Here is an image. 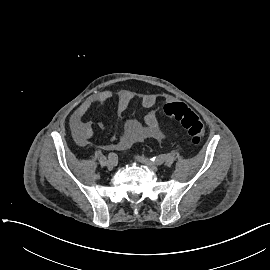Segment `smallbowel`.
I'll use <instances>...</instances> for the list:
<instances>
[{
	"mask_svg": "<svg viewBox=\"0 0 270 270\" xmlns=\"http://www.w3.org/2000/svg\"><path fill=\"white\" fill-rule=\"evenodd\" d=\"M113 98L109 90H102L88 97L72 114L70 127L77 142L85 145L93 137V124L85 120L87 112L93 108L103 107ZM131 94L128 91H121L117 97L116 111L118 115H123L131 101ZM167 95L147 94L141 100V106L145 111L143 121L129 118L124 123V132L119 141L115 144H103V149L124 150L135 143L145 140L161 141L165 138V133L156 114L151 108L160 100H168ZM103 126L101 122L98 123Z\"/></svg>",
	"mask_w": 270,
	"mask_h": 270,
	"instance_id": "small-bowel-1",
	"label": "small bowel"
}]
</instances>
